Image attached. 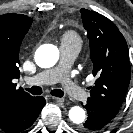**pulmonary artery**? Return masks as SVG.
Segmentation results:
<instances>
[{"label": "pulmonary artery", "mask_w": 133, "mask_h": 133, "mask_svg": "<svg viewBox=\"0 0 133 133\" xmlns=\"http://www.w3.org/2000/svg\"><path fill=\"white\" fill-rule=\"evenodd\" d=\"M79 48L72 46H61V59L57 66L39 72L35 76L26 80L31 85H46L60 82L66 94L72 99L85 100L87 94L79 86H77L68 76L75 58L77 57Z\"/></svg>", "instance_id": "e3ab8cb5"}]
</instances>
